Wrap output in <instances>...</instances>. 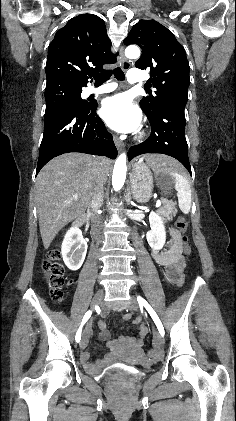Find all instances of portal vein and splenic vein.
I'll list each match as a JSON object with an SVG mask.
<instances>
[{
  "instance_id": "portal-vein-and-splenic-vein-1",
  "label": "portal vein and splenic vein",
  "mask_w": 236,
  "mask_h": 421,
  "mask_svg": "<svg viewBox=\"0 0 236 421\" xmlns=\"http://www.w3.org/2000/svg\"><path fill=\"white\" fill-rule=\"evenodd\" d=\"M72 198L73 200H77L78 194H72ZM160 205H161V200H157L156 206H160Z\"/></svg>"
}]
</instances>
